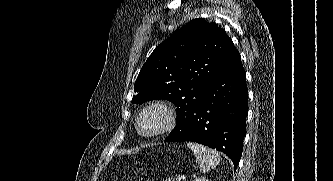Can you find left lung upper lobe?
Wrapping results in <instances>:
<instances>
[{
    "mask_svg": "<svg viewBox=\"0 0 333 181\" xmlns=\"http://www.w3.org/2000/svg\"><path fill=\"white\" fill-rule=\"evenodd\" d=\"M238 55L216 23L194 19L149 56L136 79L132 103L166 99L178 107V118L201 102L209 83Z\"/></svg>",
    "mask_w": 333,
    "mask_h": 181,
    "instance_id": "5c2ea615",
    "label": "left lung upper lobe"
}]
</instances>
